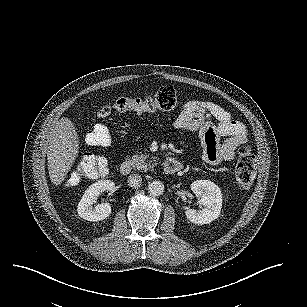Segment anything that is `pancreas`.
<instances>
[{"mask_svg":"<svg viewBox=\"0 0 307 307\" xmlns=\"http://www.w3.org/2000/svg\"><path fill=\"white\" fill-rule=\"evenodd\" d=\"M155 160L156 157L150 158L149 154H135L131 158V163L134 170L146 172L154 169V167L157 165Z\"/></svg>","mask_w":307,"mask_h":307,"instance_id":"cf45deb5","label":"pancreas"}]
</instances>
